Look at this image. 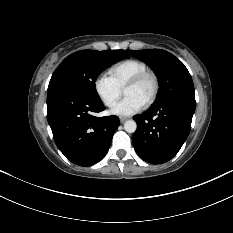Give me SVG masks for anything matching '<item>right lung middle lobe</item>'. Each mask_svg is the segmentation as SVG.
Masks as SVG:
<instances>
[{
	"label": "right lung middle lobe",
	"mask_w": 233,
	"mask_h": 233,
	"mask_svg": "<svg viewBox=\"0 0 233 233\" xmlns=\"http://www.w3.org/2000/svg\"><path fill=\"white\" fill-rule=\"evenodd\" d=\"M128 50H82L66 57L53 73L47 94L68 92L101 101L95 88L98 75L117 61L128 57Z\"/></svg>",
	"instance_id": "dd1d6c3e"
}]
</instances>
